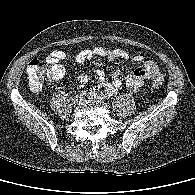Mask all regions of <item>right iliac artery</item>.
Masks as SVG:
<instances>
[{
  "label": "right iliac artery",
  "mask_w": 195,
  "mask_h": 195,
  "mask_svg": "<svg viewBox=\"0 0 195 195\" xmlns=\"http://www.w3.org/2000/svg\"><path fill=\"white\" fill-rule=\"evenodd\" d=\"M86 93H87V91L84 90V91H82V92L80 93V95L83 96V95H85Z\"/></svg>",
  "instance_id": "1"
}]
</instances>
